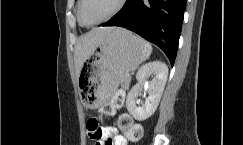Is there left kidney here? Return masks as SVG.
<instances>
[{"instance_id": "obj_1", "label": "left kidney", "mask_w": 243, "mask_h": 145, "mask_svg": "<svg viewBox=\"0 0 243 145\" xmlns=\"http://www.w3.org/2000/svg\"><path fill=\"white\" fill-rule=\"evenodd\" d=\"M150 75H154V78L147 88L148 98L141 105H137L139 103L137 100L139 92ZM167 78L168 67L161 61L150 62L140 67L136 74L138 83L129 91L126 99L127 110L135 120L144 121L154 114L159 105Z\"/></svg>"}]
</instances>
